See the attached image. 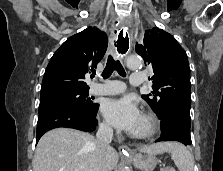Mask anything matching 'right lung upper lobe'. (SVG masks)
<instances>
[{
    "label": "right lung upper lobe",
    "instance_id": "right-lung-upper-lobe-1",
    "mask_svg": "<svg viewBox=\"0 0 223 171\" xmlns=\"http://www.w3.org/2000/svg\"><path fill=\"white\" fill-rule=\"evenodd\" d=\"M107 43V35L96 27H88L68 38L46 68L40 98L89 90L85 74L94 71L106 52Z\"/></svg>",
    "mask_w": 223,
    "mask_h": 171
}]
</instances>
